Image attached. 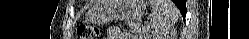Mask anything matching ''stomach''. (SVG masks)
Listing matches in <instances>:
<instances>
[{"label": "stomach", "instance_id": "0dacf381", "mask_svg": "<svg viewBox=\"0 0 249 39\" xmlns=\"http://www.w3.org/2000/svg\"><path fill=\"white\" fill-rule=\"evenodd\" d=\"M143 0H97L88 11L87 20L94 24L112 20L136 21L145 13Z\"/></svg>", "mask_w": 249, "mask_h": 39}]
</instances>
